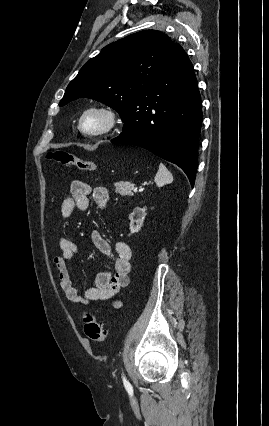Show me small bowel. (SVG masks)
I'll return each instance as SVG.
<instances>
[{
    "label": "small bowel",
    "instance_id": "small-bowel-1",
    "mask_svg": "<svg viewBox=\"0 0 269 426\" xmlns=\"http://www.w3.org/2000/svg\"><path fill=\"white\" fill-rule=\"evenodd\" d=\"M89 195H92L96 205L101 208H105L110 201V194L106 187L92 188L85 182L73 181L70 185V195L63 200L60 208L62 218H69L75 209L87 210ZM91 238L100 253L113 259V268L98 273L93 284L83 294H80L75 287L67 265V262L72 260L78 252L77 244L71 239L61 237L58 241L61 253L53 259L58 272L59 286L66 299L71 303L83 306H88L91 302L104 304L112 300L121 289L129 284L131 272L132 252L125 242H116L115 255H113L109 242L100 231H93ZM113 306L119 308L121 302L114 300Z\"/></svg>",
    "mask_w": 269,
    "mask_h": 426
}]
</instances>
